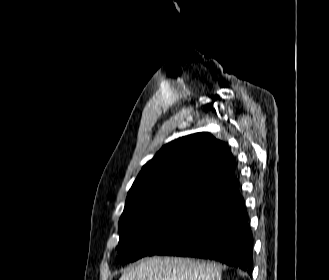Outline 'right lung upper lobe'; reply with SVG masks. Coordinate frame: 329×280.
Masks as SVG:
<instances>
[{
	"instance_id": "cb5924a9",
	"label": "right lung upper lobe",
	"mask_w": 329,
	"mask_h": 280,
	"mask_svg": "<svg viewBox=\"0 0 329 280\" xmlns=\"http://www.w3.org/2000/svg\"><path fill=\"white\" fill-rule=\"evenodd\" d=\"M234 175L235 161L226 143L210 133L191 134L163 146L143 166L128 192L126 205L135 208L177 195L205 199Z\"/></svg>"
}]
</instances>
